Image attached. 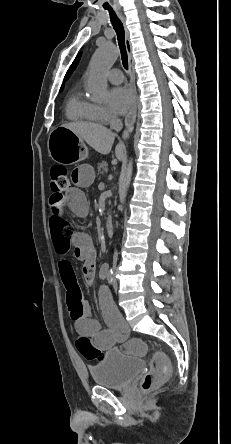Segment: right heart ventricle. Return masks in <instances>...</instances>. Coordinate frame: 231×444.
Returning a JSON list of instances; mask_svg holds the SVG:
<instances>
[{"label":"right heart ventricle","mask_w":231,"mask_h":444,"mask_svg":"<svg viewBox=\"0 0 231 444\" xmlns=\"http://www.w3.org/2000/svg\"><path fill=\"white\" fill-rule=\"evenodd\" d=\"M66 115L73 121H97L92 104L78 91L73 92L68 98Z\"/></svg>","instance_id":"e07e8e85"}]
</instances>
